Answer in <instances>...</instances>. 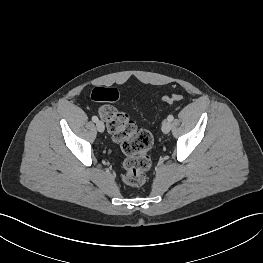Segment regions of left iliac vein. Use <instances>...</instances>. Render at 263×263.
Instances as JSON below:
<instances>
[{
    "mask_svg": "<svg viewBox=\"0 0 263 263\" xmlns=\"http://www.w3.org/2000/svg\"><path fill=\"white\" fill-rule=\"evenodd\" d=\"M171 130V122L169 120H165L162 123V131L163 133L167 134Z\"/></svg>",
    "mask_w": 263,
    "mask_h": 263,
    "instance_id": "obj_1",
    "label": "left iliac vein"
}]
</instances>
